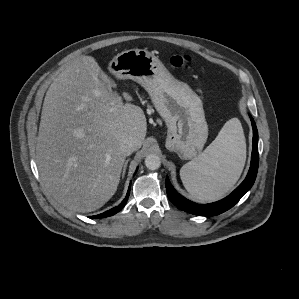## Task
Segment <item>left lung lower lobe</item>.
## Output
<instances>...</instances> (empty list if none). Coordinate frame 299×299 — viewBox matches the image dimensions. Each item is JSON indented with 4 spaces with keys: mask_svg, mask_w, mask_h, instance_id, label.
<instances>
[{
    "mask_svg": "<svg viewBox=\"0 0 299 299\" xmlns=\"http://www.w3.org/2000/svg\"><path fill=\"white\" fill-rule=\"evenodd\" d=\"M253 127V149L251 156V166L245 180L226 198L210 203V204H197L185 197L181 196L171 185L168 178H166L165 186L170 201L178 207V209L201 216H215L221 214L231 207H233L241 197L252 187L259 163L258 155V131L253 118L250 116Z\"/></svg>",
    "mask_w": 299,
    "mask_h": 299,
    "instance_id": "0a47b994",
    "label": "left lung lower lobe"
}]
</instances>
